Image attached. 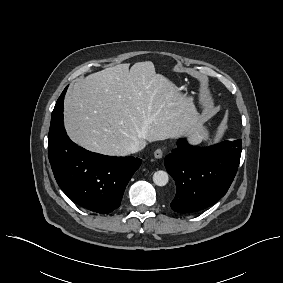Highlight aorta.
Wrapping results in <instances>:
<instances>
[{
	"label": "aorta",
	"instance_id": "762f6f07",
	"mask_svg": "<svg viewBox=\"0 0 283 283\" xmlns=\"http://www.w3.org/2000/svg\"><path fill=\"white\" fill-rule=\"evenodd\" d=\"M169 177L167 172L159 170L153 174V182L157 186H165L168 183Z\"/></svg>",
	"mask_w": 283,
	"mask_h": 283
}]
</instances>
